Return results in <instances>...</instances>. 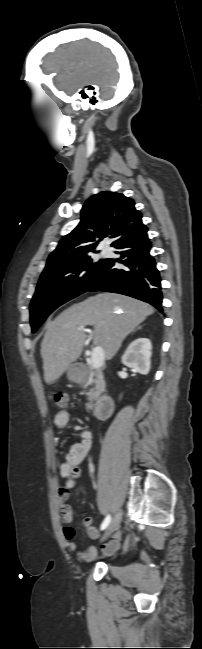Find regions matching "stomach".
Instances as JSON below:
<instances>
[{"label": "stomach", "instance_id": "1", "mask_svg": "<svg viewBox=\"0 0 202 649\" xmlns=\"http://www.w3.org/2000/svg\"><path fill=\"white\" fill-rule=\"evenodd\" d=\"M67 376L71 382H79L81 378V371L75 365H71L67 369Z\"/></svg>", "mask_w": 202, "mask_h": 649}]
</instances>
